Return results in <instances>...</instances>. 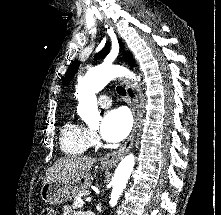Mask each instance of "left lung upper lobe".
Here are the masks:
<instances>
[{"label":"left lung upper lobe","mask_w":221,"mask_h":215,"mask_svg":"<svg viewBox=\"0 0 221 215\" xmlns=\"http://www.w3.org/2000/svg\"><path fill=\"white\" fill-rule=\"evenodd\" d=\"M120 42V40H119ZM122 45V44H121ZM109 52V43H106L104 49H102L98 54L95 55V58H102ZM79 61H74L68 69V72L64 78L63 85H66L76 74L79 68Z\"/></svg>","instance_id":"obj_1"}]
</instances>
